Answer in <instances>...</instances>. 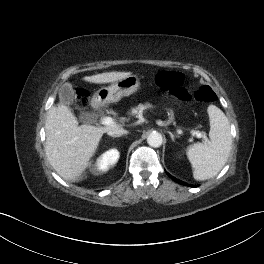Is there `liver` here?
Returning a JSON list of instances; mask_svg holds the SVG:
<instances>
[{"instance_id": "6515ba94", "label": "liver", "mask_w": 264, "mask_h": 264, "mask_svg": "<svg viewBox=\"0 0 264 264\" xmlns=\"http://www.w3.org/2000/svg\"><path fill=\"white\" fill-rule=\"evenodd\" d=\"M131 74L106 72L85 76L83 80L96 84L113 83ZM78 124L75 115L63 104L52 106L48 111L45 124L46 155L54 170L68 181H76L82 177L103 134L120 128L118 124L105 127Z\"/></svg>"}]
</instances>
